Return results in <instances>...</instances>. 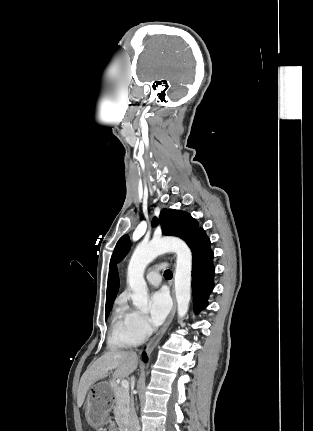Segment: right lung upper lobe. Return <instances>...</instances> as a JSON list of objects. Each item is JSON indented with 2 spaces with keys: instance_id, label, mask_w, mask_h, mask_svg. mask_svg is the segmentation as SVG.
Wrapping results in <instances>:
<instances>
[{
  "instance_id": "right-lung-upper-lobe-1",
  "label": "right lung upper lobe",
  "mask_w": 313,
  "mask_h": 431,
  "mask_svg": "<svg viewBox=\"0 0 313 431\" xmlns=\"http://www.w3.org/2000/svg\"><path fill=\"white\" fill-rule=\"evenodd\" d=\"M119 290V276L114 262H110V272L107 285L106 308L113 305Z\"/></svg>"
}]
</instances>
